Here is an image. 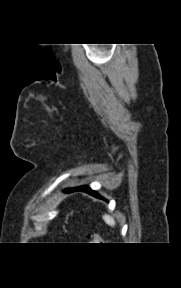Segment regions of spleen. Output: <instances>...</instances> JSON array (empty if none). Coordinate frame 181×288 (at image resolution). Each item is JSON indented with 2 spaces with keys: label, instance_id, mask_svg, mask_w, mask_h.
<instances>
[{
  "label": "spleen",
  "instance_id": "1",
  "mask_svg": "<svg viewBox=\"0 0 181 288\" xmlns=\"http://www.w3.org/2000/svg\"><path fill=\"white\" fill-rule=\"evenodd\" d=\"M103 220L105 221L106 224L110 225L111 227H114L116 224L115 219L107 214L103 215Z\"/></svg>",
  "mask_w": 181,
  "mask_h": 288
}]
</instances>
